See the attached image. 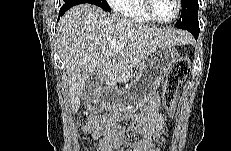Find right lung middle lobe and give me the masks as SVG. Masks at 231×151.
Listing matches in <instances>:
<instances>
[{
	"mask_svg": "<svg viewBox=\"0 0 231 151\" xmlns=\"http://www.w3.org/2000/svg\"><path fill=\"white\" fill-rule=\"evenodd\" d=\"M79 3L78 4H82V3H90V4H94L98 7H101L103 10L106 11H110V7L108 6L106 0H78Z\"/></svg>",
	"mask_w": 231,
	"mask_h": 151,
	"instance_id": "1",
	"label": "right lung middle lobe"
}]
</instances>
